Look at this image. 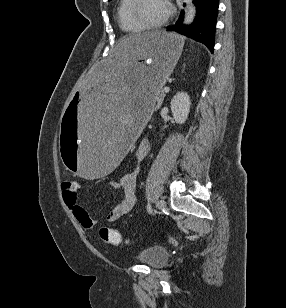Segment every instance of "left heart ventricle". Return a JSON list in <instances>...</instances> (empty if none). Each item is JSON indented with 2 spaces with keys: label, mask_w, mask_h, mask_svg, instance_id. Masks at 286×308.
Returning a JSON list of instances; mask_svg holds the SVG:
<instances>
[{
  "label": "left heart ventricle",
  "mask_w": 286,
  "mask_h": 308,
  "mask_svg": "<svg viewBox=\"0 0 286 308\" xmlns=\"http://www.w3.org/2000/svg\"><path fill=\"white\" fill-rule=\"evenodd\" d=\"M140 16L148 23H157L167 14L165 0H143L140 5Z\"/></svg>",
  "instance_id": "b2bd125f"
}]
</instances>
